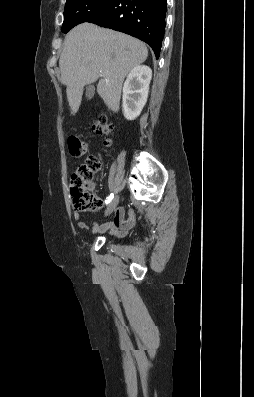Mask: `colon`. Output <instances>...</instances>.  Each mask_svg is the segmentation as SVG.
I'll list each match as a JSON object with an SVG mask.
<instances>
[{"instance_id":"5ec220e1","label":"colon","mask_w":254,"mask_h":397,"mask_svg":"<svg viewBox=\"0 0 254 397\" xmlns=\"http://www.w3.org/2000/svg\"><path fill=\"white\" fill-rule=\"evenodd\" d=\"M93 130L99 135L109 136L113 130V124L106 116H99L94 124ZM112 140L107 138L105 145H111ZM69 152L74 157H81L88 151V143L81 137L72 135L68 138ZM101 167V159L98 156H89L70 179V195L73 206L77 211H93L100 205V200L91 192L90 187L94 174Z\"/></svg>"}]
</instances>
